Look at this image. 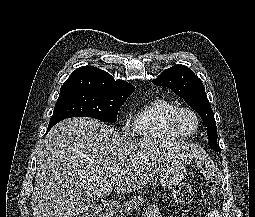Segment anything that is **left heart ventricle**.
Listing matches in <instances>:
<instances>
[{"instance_id":"obj_1","label":"left heart ventricle","mask_w":255,"mask_h":217,"mask_svg":"<svg viewBox=\"0 0 255 217\" xmlns=\"http://www.w3.org/2000/svg\"><path fill=\"white\" fill-rule=\"evenodd\" d=\"M182 126L186 131H193L195 129V121L189 115H183L181 118Z\"/></svg>"}]
</instances>
